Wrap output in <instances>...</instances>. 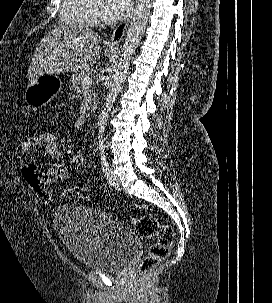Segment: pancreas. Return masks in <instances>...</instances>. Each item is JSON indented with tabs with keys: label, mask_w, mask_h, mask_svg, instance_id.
Wrapping results in <instances>:
<instances>
[{
	"label": "pancreas",
	"mask_w": 272,
	"mask_h": 303,
	"mask_svg": "<svg viewBox=\"0 0 272 303\" xmlns=\"http://www.w3.org/2000/svg\"><path fill=\"white\" fill-rule=\"evenodd\" d=\"M90 72L88 71H81L80 73H75L72 76L71 82H72V88L77 92L82 94L83 100H82V107H85V104L88 99H90L93 95V90L90 88V85L86 87V89H83L80 85L82 82V79L86 76H89Z\"/></svg>",
	"instance_id": "cf45deb5"
}]
</instances>
